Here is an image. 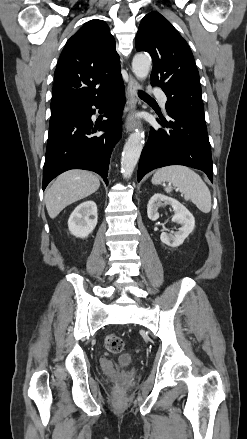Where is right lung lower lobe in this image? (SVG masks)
Here are the masks:
<instances>
[{
	"instance_id": "right-lung-lower-lobe-1",
	"label": "right lung lower lobe",
	"mask_w": 247,
	"mask_h": 439,
	"mask_svg": "<svg viewBox=\"0 0 247 439\" xmlns=\"http://www.w3.org/2000/svg\"><path fill=\"white\" fill-rule=\"evenodd\" d=\"M125 102L121 81L107 95L72 107L50 120L43 169V190L57 175L70 169L98 173L108 185L107 171L113 147L121 137V115ZM104 108L107 120L93 123L95 109ZM103 131V134L99 132Z\"/></svg>"
}]
</instances>
